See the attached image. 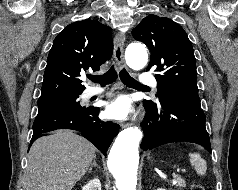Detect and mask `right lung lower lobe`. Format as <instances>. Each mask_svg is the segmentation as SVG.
<instances>
[{
	"label": "right lung lower lobe",
	"instance_id": "obj_1",
	"mask_svg": "<svg viewBox=\"0 0 238 190\" xmlns=\"http://www.w3.org/2000/svg\"><path fill=\"white\" fill-rule=\"evenodd\" d=\"M98 114L99 108L88 107L37 116L33 123L30 145L43 133L56 129H73L82 132L106 156L108 147L118 134L119 125L101 121Z\"/></svg>",
	"mask_w": 238,
	"mask_h": 190
}]
</instances>
